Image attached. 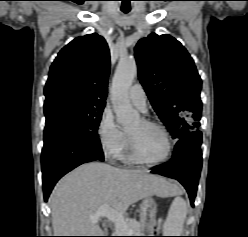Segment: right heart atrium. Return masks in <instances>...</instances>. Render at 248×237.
Returning <instances> with one entry per match:
<instances>
[{
  "instance_id": "obj_1",
  "label": "right heart atrium",
  "mask_w": 248,
  "mask_h": 237,
  "mask_svg": "<svg viewBox=\"0 0 248 237\" xmlns=\"http://www.w3.org/2000/svg\"><path fill=\"white\" fill-rule=\"evenodd\" d=\"M97 137L104 154L111 159L119 158L126 145V135L115 122L113 113L105 109L97 126Z\"/></svg>"
}]
</instances>
